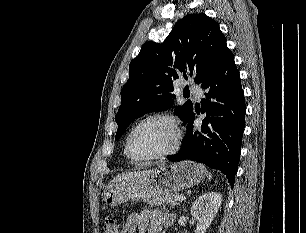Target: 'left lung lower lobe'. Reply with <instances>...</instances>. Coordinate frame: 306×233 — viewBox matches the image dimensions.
<instances>
[{"label": "left lung lower lobe", "mask_w": 306, "mask_h": 233, "mask_svg": "<svg viewBox=\"0 0 306 233\" xmlns=\"http://www.w3.org/2000/svg\"><path fill=\"white\" fill-rule=\"evenodd\" d=\"M207 90L201 110L206 113L199 129H193L192 113L181 150L168 159H189L224 173L234 186L245 126V101L240 75L229 50L214 72L201 84Z\"/></svg>", "instance_id": "1"}]
</instances>
